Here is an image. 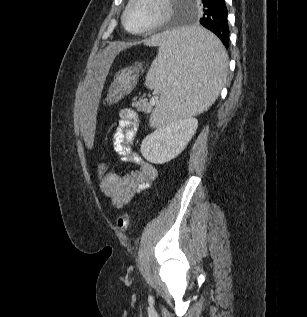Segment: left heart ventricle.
I'll return each instance as SVG.
<instances>
[{
    "label": "left heart ventricle",
    "instance_id": "1",
    "mask_svg": "<svg viewBox=\"0 0 307 317\" xmlns=\"http://www.w3.org/2000/svg\"><path fill=\"white\" fill-rule=\"evenodd\" d=\"M158 0H138L130 9L126 23L129 29L139 30L151 24L161 13Z\"/></svg>",
    "mask_w": 307,
    "mask_h": 317
}]
</instances>
